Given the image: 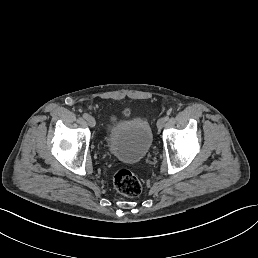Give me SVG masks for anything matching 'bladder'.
<instances>
[{"mask_svg": "<svg viewBox=\"0 0 258 258\" xmlns=\"http://www.w3.org/2000/svg\"><path fill=\"white\" fill-rule=\"evenodd\" d=\"M109 150L120 160L133 163L148 153L152 143V130L147 120L136 117L120 121L108 132Z\"/></svg>", "mask_w": 258, "mask_h": 258, "instance_id": "obj_1", "label": "bladder"}]
</instances>
